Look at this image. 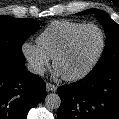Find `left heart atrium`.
Returning <instances> with one entry per match:
<instances>
[{
    "label": "left heart atrium",
    "instance_id": "obj_1",
    "mask_svg": "<svg viewBox=\"0 0 119 119\" xmlns=\"http://www.w3.org/2000/svg\"><path fill=\"white\" fill-rule=\"evenodd\" d=\"M55 75H56V76H63V75L60 73V71H58L57 69L55 70Z\"/></svg>",
    "mask_w": 119,
    "mask_h": 119
}]
</instances>
